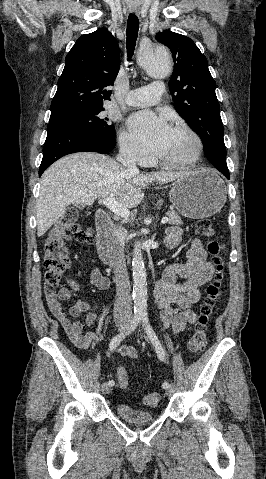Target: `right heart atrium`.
<instances>
[{"mask_svg":"<svg viewBox=\"0 0 266 479\" xmlns=\"http://www.w3.org/2000/svg\"><path fill=\"white\" fill-rule=\"evenodd\" d=\"M119 146L121 154L127 160L141 164L148 161L145 151L125 131L119 134Z\"/></svg>","mask_w":266,"mask_h":479,"instance_id":"obj_1","label":"right heart atrium"}]
</instances>
